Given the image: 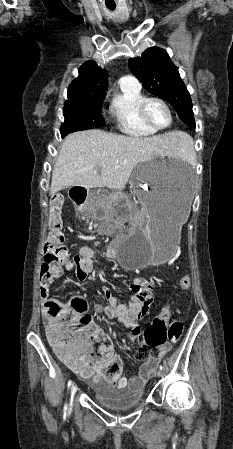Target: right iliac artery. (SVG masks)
I'll return each mask as SVG.
<instances>
[{
  "mask_svg": "<svg viewBox=\"0 0 233 449\" xmlns=\"http://www.w3.org/2000/svg\"><path fill=\"white\" fill-rule=\"evenodd\" d=\"M71 384H72V381L70 380V381L68 382V388L71 386ZM67 410H68V407H67V404H65V405H64V409H63L64 415L67 414Z\"/></svg>",
  "mask_w": 233,
  "mask_h": 449,
  "instance_id": "1",
  "label": "right iliac artery"
}]
</instances>
